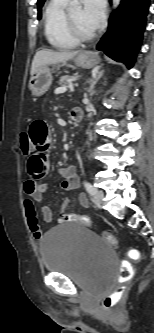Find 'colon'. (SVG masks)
<instances>
[{
    "mask_svg": "<svg viewBox=\"0 0 154 333\" xmlns=\"http://www.w3.org/2000/svg\"><path fill=\"white\" fill-rule=\"evenodd\" d=\"M21 152L25 155L29 154L31 151V142L28 133H22L19 139ZM63 222H78L82 223L86 226L90 225V218L84 215L77 214H66L62 217ZM102 237L112 246L117 245V240L114 235L109 232H103ZM130 256L133 260H138V253L136 251H132ZM133 276V267L129 262L122 263L119 271V277L123 281H128ZM121 300V290L116 291L113 294L108 295L104 298L102 304L106 309H112L118 306Z\"/></svg>",
    "mask_w": 154,
    "mask_h": 333,
    "instance_id": "5ec220e1",
    "label": "colon"
}]
</instances>
